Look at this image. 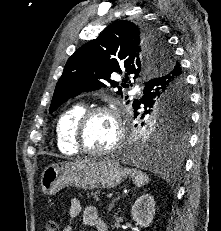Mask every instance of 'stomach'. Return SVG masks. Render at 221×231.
Here are the masks:
<instances>
[{"mask_svg":"<svg viewBox=\"0 0 221 231\" xmlns=\"http://www.w3.org/2000/svg\"><path fill=\"white\" fill-rule=\"evenodd\" d=\"M125 178L124 170L115 160H81L48 166L41 174L40 185L44 194L54 195L67 186L110 189Z\"/></svg>","mask_w":221,"mask_h":231,"instance_id":"obj_1","label":"stomach"}]
</instances>
